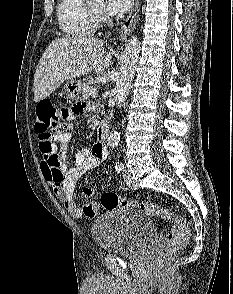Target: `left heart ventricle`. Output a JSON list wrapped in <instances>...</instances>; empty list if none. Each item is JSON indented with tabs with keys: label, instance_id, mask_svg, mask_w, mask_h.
<instances>
[{
	"label": "left heart ventricle",
	"instance_id": "obj_1",
	"mask_svg": "<svg viewBox=\"0 0 233 294\" xmlns=\"http://www.w3.org/2000/svg\"><path fill=\"white\" fill-rule=\"evenodd\" d=\"M105 5L104 4H99V5H95L92 8L96 11L102 12L104 10Z\"/></svg>",
	"mask_w": 233,
	"mask_h": 294
}]
</instances>
